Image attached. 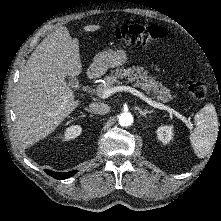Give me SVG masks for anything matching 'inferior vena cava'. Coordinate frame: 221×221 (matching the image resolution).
Returning a JSON list of instances; mask_svg holds the SVG:
<instances>
[{"mask_svg":"<svg viewBox=\"0 0 221 221\" xmlns=\"http://www.w3.org/2000/svg\"><path fill=\"white\" fill-rule=\"evenodd\" d=\"M89 107L91 112L100 115L106 114L110 110V107L105 103H91Z\"/></svg>","mask_w":221,"mask_h":221,"instance_id":"obj_1","label":"inferior vena cava"}]
</instances>
